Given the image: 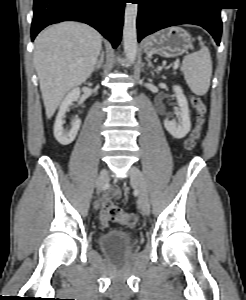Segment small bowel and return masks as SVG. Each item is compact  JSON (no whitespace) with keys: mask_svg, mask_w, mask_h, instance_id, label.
Wrapping results in <instances>:
<instances>
[{"mask_svg":"<svg viewBox=\"0 0 246 300\" xmlns=\"http://www.w3.org/2000/svg\"><path fill=\"white\" fill-rule=\"evenodd\" d=\"M109 196L112 197H119L120 196V191L117 188H113L110 192H109ZM100 221L102 224L106 225L108 224L109 220L103 215L102 211L100 213Z\"/></svg>","mask_w":246,"mask_h":300,"instance_id":"small-bowel-1","label":"small bowel"}]
</instances>
